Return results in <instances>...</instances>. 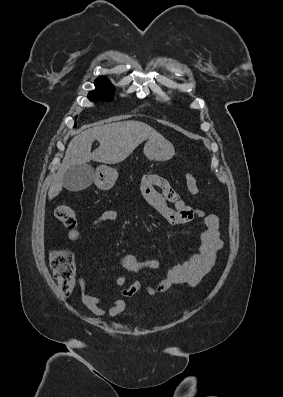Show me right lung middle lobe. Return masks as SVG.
Here are the masks:
<instances>
[{
  "instance_id": "dd1d6c3e",
  "label": "right lung middle lobe",
  "mask_w": 283,
  "mask_h": 397,
  "mask_svg": "<svg viewBox=\"0 0 283 397\" xmlns=\"http://www.w3.org/2000/svg\"><path fill=\"white\" fill-rule=\"evenodd\" d=\"M95 86L96 89L88 94L90 101H112L114 99V87L110 82H95Z\"/></svg>"
}]
</instances>
